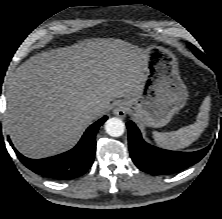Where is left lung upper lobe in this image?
<instances>
[{
    "mask_svg": "<svg viewBox=\"0 0 222 219\" xmlns=\"http://www.w3.org/2000/svg\"><path fill=\"white\" fill-rule=\"evenodd\" d=\"M188 46L191 48V50L193 51L196 47L193 46L192 44L188 43Z\"/></svg>",
    "mask_w": 222,
    "mask_h": 219,
    "instance_id": "obj_1",
    "label": "left lung upper lobe"
}]
</instances>
